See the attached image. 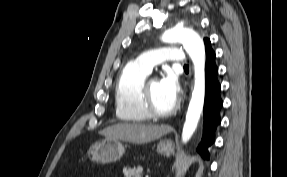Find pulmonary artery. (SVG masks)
Returning a JSON list of instances; mask_svg holds the SVG:
<instances>
[{"instance_id": "pulmonary-artery-1", "label": "pulmonary artery", "mask_w": 287, "mask_h": 177, "mask_svg": "<svg viewBox=\"0 0 287 177\" xmlns=\"http://www.w3.org/2000/svg\"><path fill=\"white\" fill-rule=\"evenodd\" d=\"M165 61L171 62L175 66L187 65L184 52L171 46L147 50L142 55L132 60L133 63L137 64L149 73L152 71L154 66Z\"/></svg>"}]
</instances>
